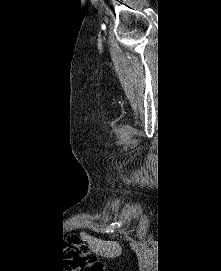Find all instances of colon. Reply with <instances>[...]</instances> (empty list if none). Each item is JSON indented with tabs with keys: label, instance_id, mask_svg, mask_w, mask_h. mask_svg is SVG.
Returning a JSON list of instances; mask_svg holds the SVG:
<instances>
[{
	"label": "colon",
	"instance_id": "obj_1",
	"mask_svg": "<svg viewBox=\"0 0 221 271\" xmlns=\"http://www.w3.org/2000/svg\"><path fill=\"white\" fill-rule=\"evenodd\" d=\"M66 255L74 271H104L100 262L90 253L87 246L77 235H70L64 242Z\"/></svg>",
	"mask_w": 221,
	"mask_h": 271
}]
</instances>
